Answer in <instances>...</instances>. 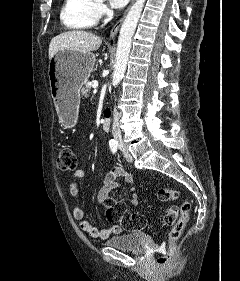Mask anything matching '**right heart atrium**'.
Instances as JSON below:
<instances>
[{
  "label": "right heart atrium",
  "instance_id": "d8ad5b80",
  "mask_svg": "<svg viewBox=\"0 0 240 281\" xmlns=\"http://www.w3.org/2000/svg\"><path fill=\"white\" fill-rule=\"evenodd\" d=\"M109 14H110V11H109V9L107 8V6L106 5H104V4H98L97 5V15H98V17H107V16H109Z\"/></svg>",
  "mask_w": 240,
  "mask_h": 281
}]
</instances>
